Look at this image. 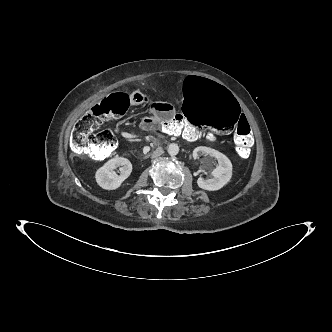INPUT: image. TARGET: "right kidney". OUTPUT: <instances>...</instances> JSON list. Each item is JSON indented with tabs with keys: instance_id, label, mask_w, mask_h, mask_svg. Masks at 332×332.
<instances>
[{
	"instance_id": "obj_1",
	"label": "right kidney",
	"mask_w": 332,
	"mask_h": 332,
	"mask_svg": "<svg viewBox=\"0 0 332 332\" xmlns=\"http://www.w3.org/2000/svg\"><path fill=\"white\" fill-rule=\"evenodd\" d=\"M119 168L120 175L114 169ZM132 172L131 162L124 157H115L108 160L95 173L97 184L106 190H115L119 188Z\"/></svg>"
}]
</instances>
